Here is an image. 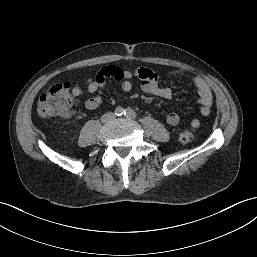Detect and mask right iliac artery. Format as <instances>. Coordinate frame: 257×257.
<instances>
[{
	"label": "right iliac artery",
	"instance_id": "right-iliac-artery-1",
	"mask_svg": "<svg viewBox=\"0 0 257 257\" xmlns=\"http://www.w3.org/2000/svg\"><path fill=\"white\" fill-rule=\"evenodd\" d=\"M124 112H125V110H124L123 108H121V107H118V108H116V110H115V114H116L117 116H122V115L124 114Z\"/></svg>",
	"mask_w": 257,
	"mask_h": 257
}]
</instances>
